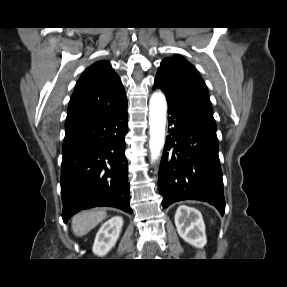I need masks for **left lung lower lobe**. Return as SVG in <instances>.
<instances>
[{
  "mask_svg": "<svg viewBox=\"0 0 287 287\" xmlns=\"http://www.w3.org/2000/svg\"><path fill=\"white\" fill-rule=\"evenodd\" d=\"M168 129L158 188L167 208L176 201L199 200L223 215L225 200L218 156V139L192 118L168 105Z\"/></svg>",
  "mask_w": 287,
  "mask_h": 287,
  "instance_id": "1",
  "label": "left lung lower lobe"
}]
</instances>
